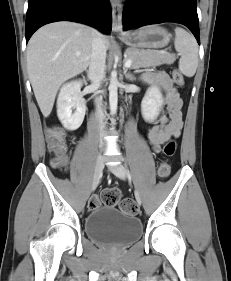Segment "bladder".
<instances>
[{"instance_id": "31cf9c89", "label": "bladder", "mask_w": 231, "mask_h": 281, "mask_svg": "<svg viewBox=\"0 0 231 281\" xmlns=\"http://www.w3.org/2000/svg\"><path fill=\"white\" fill-rule=\"evenodd\" d=\"M88 238L105 245L126 246L140 238L141 221L111 206L93 209L84 221Z\"/></svg>"}]
</instances>
